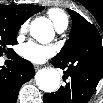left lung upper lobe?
I'll use <instances>...</instances> for the list:
<instances>
[{
    "instance_id": "1",
    "label": "left lung upper lobe",
    "mask_w": 103,
    "mask_h": 103,
    "mask_svg": "<svg viewBox=\"0 0 103 103\" xmlns=\"http://www.w3.org/2000/svg\"><path fill=\"white\" fill-rule=\"evenodd\" d=\"M70 14L73 24L69 34V39L61 49L60 53L55 56L59 59H66L73 55V53L84 54L86 57L91 55L87 47L89 39L101 38L98 30L94 25L88 22L77 12L67 9Z\"/></svg>"
}]
</instances>
